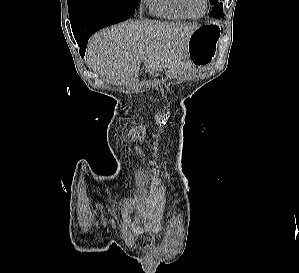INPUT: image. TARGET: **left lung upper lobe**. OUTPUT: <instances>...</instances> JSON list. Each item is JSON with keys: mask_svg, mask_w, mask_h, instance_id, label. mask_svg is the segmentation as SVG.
<instances>
[{"mask_svg": "<svg viewBox=\"0 0 299 273\" xmlns=\"http://www.w3.org/2000/svg\"><path fill=\"white\" fill-rule=\"evenodd\" d=\"M210 3L213 5L212 14L216 18H220L224 16L223 13V4L221 0H209Z\"/></svg>", "mask_w": 299, "mask_h": 273, "instance_id": "left-lung-upper-lobe-1", "label": "left lung upper lobe"}]
</instances>
